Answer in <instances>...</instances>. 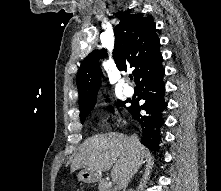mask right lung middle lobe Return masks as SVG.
<instances>
[{
	"instance_id": "obj_1",
	"label": "right lung middle lobe",
	"mask_w": 221,
	"mask_h": 191,
	"mask_svg": "<svg viewBox=\"0 0 221 191\" xmlns=\"http://www.w3.org/2000/svg\"><path fill=\"white\" fill-rule=\"evenodd\" d=\"M126 103H127L126 101H120V100H118V105H119V106L126 107V106H125ZM126 108L128 109V107H126ZM92 109H93V108H92ZM92 109H90V110H88V111H86V112L80 114V119H81L82 124L84 123L86 117L91 113Z\"/></svg>"
}]
</instances>
